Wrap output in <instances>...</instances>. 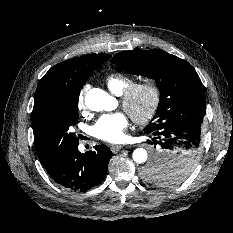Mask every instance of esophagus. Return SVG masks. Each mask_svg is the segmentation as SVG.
I'll use <instances>...</instances> for the list:
<instances>
[{
    "label": "esophagus",
    "instance_id": "1",
    "mask_svg": "<svg viewBox=\"0 0 233 233\" xmlns=\"http://www.w3.org/2000/svg\"><path fill=\"white\" fill-rule=\"evenodd\" d=\"M122 148H123L122 145H111L112 152H118Z\"/></svg>",
    "mask_w": 233,
    "mask_h": 233
}]
</instances>
